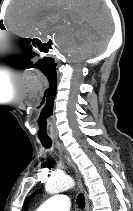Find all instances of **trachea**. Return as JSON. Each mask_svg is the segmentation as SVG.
I'll return each mask as SVG.
<instances>
[{
  "label": "trachea",
  "mask_w": 133,
  "mask_h": 211,
  "mask_svg": "<svg viewBox=\"0 0 133 211\" xmlns=\"http://www.w3.org/2000/svg\"><path fill=\"white\" fill-rule=\"evenodd\" d=\"M41 144L45 147V148H50L52 145L51 141H41ZM77 204L80 208H84L85 206V199H84V195L83 194H79L77 196Z\"/></svg>",
  "instance_id": "trachea-1"
}]
</instances>
